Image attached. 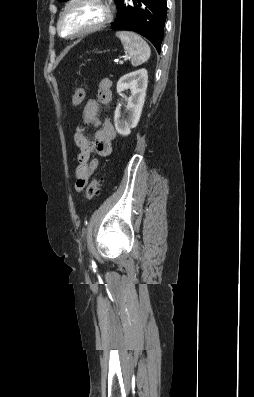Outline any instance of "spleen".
Wrapping results in <instances>:
<instances>
[{
  "label": "spleen",
  "instance_id": "obj_1",
  "mask_svg": "<svg viewBox=\"0 0 254 397\" xmlns=\"http://www.w3.org/2000/svg\"><path fill=\"white\" fill-rule=\"evenodd\" d=\"M116 36L120 38L133 66H139L149 59L150 47L138 34L131 31H118Z\"/></svg>",
  "mask_w": 254,
  "mask_h": 397
}]
</instances>
